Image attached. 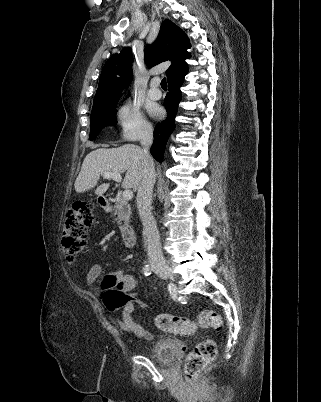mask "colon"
I'll list each match as a JSON object with an SVG mask.
<instances>
[{"label": "colon", "mask_w": 321, "mask_h": 402, "mask_svg": "<svg viewBox=\"0 0 321 402\" xmlns=\"http://www.w3.org/2000/svg\"><path fill=\"white\" fill-rule=\"evenodd\" d=\"M93 222L91 204L79 202L68 209L63 225L62 244L70 262H74L83 250L88 230ZM130 300V296L120 289L110 288L103 293L104 305L110 312H116ZM154 322L160 330L176 334H192L199 328H211L217 331L223 328L222 317L213 310L199 312L194 320L159 314ZM216 356L217 346L213 340L207 339L197 343L185 359V377L188 380L195 378Z\"/></svg>", "instance_id": "obj_1"}]
</instances>
